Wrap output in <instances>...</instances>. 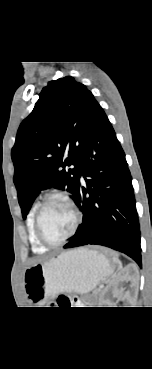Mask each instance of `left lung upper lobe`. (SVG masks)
Segmentation results:
<instances>
[{
  "instance_id": "left-lung-upper-lobe-1",
  "label": "left lung upper lobe",
  "mask_w": 152,
  "mask_h": 369,
  "mask_svg": "<svg viewBox=\"0 0 152 369\" xmlns=\"http://www.w3.org/2000/svg\"><path fill=\"white\" fill-rule=\"evenodd\" d=\"M99 107L93 94L71 76L43 88L18 129L11 154L23 218L43 189H66L74 199L81 153ZM71 165L74 168H65Z\"/></svg>"
}]
</instances>
